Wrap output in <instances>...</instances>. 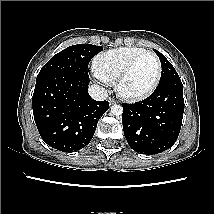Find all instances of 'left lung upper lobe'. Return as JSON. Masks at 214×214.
Segmentation results:
<instances>
[{
	"label": "left lung upper lobe",
	"instance_id": "5c2ea615",
	"mask_svg": "<svg viewBox=\"0 0 214 214\" xmlns=\"http://www.w3.org/2000/svg\"><path fill=\"white\" fill-rule=\"evenodd\" d=\"M154 51L158 55V57L161 61V66H162V74H161L160 82L158 85H161V84H164L166 82L173 81V80H180L175 68L165 58V56L157 50H154Z\"/></svg>",
	"mask_w": 214,
	"mask_h": 214
}]
</instances>
